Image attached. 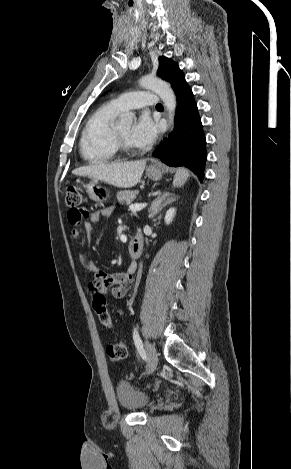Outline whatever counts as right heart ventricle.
<instances>
[{
  "label": "right heart ventricle",
  "instance_id": "1",
  "mask_svg": "<svg viewBox=\"0 0 291 469\" xmlns=\"http://www.w3.org/2000/svg\"><path fill=\"white\" fill-rule=\"evenodd\" d=\"M120 112L112 103H107L88 118L79 142L80 154L86 162L100 164L116 159L118 151L112 132L114 120Z\"/></svg>",
  "mask_w": 291,
  "mask_h": 469
}]
</instances>
